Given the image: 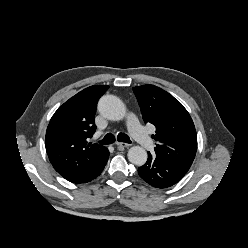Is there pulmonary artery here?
I'll return each instance as SVG.
<instances>
[{"label": "pulmonary artery", "mask_w": 248, "mask_h": 248, "mask_svg": "<svg viewBox=\"0 0 248 248\" xmlns=\"http://www.w3.org/2000/svg\"><path fill=\"white\" fill-rule=\"evenodd\" d=\"M127 126L132 137L145 149L153 147L152 139L144 132L133 114L128 115Z\"/></svg>", "instance_id": "1"}]
</instances>
